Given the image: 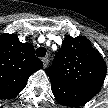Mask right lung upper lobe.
Masks as SVG:
<instances>
[{
	"label": "right lung upper lobe",
	"instance_id": "right-lung-upper-lobe-1",
	"mask_svg": "<svg viewBox=\"0 0 108 108\" xmlns=\"http://www.w3.org/2000/svg\"><path fill=\"white\" fill-rule=\"evenodd\" d=\"M42 67L32 44L21 43L15 34L0 35V99L16 97Z\"/></svg>",
	"mask_w": 108,
	"mask_h": 108
}]
</instances>
